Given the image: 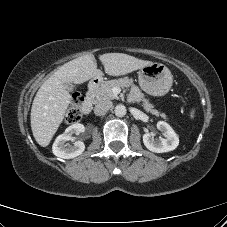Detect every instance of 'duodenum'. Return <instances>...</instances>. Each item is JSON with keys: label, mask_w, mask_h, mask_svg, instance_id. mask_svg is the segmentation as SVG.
Here are the masks:
<instances>
[{"label": "duodenum", "mask_w": 227, "mask_h": 227, "mask_svg": "<svg viewBox=\"0 0 227 227\" xmlns=\"http://www.w3.org/2000/svg\"><path fill=\"white\" fill-rule=\"evenodd\" d=\"M102 80L103 78L101 76H97L94 79H92L91 82L89 83L87 95L82 105V111L86 115L90 114L92 111L94 92L100 85Z\"/></svg>", "instance_id": "duodenum-1"}]
</instances>
